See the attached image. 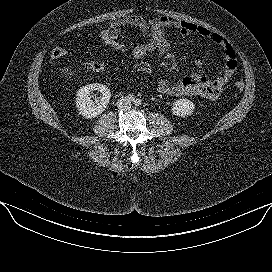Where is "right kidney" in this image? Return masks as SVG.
<instances>
[{"label": "right kidney", "mask_w": 272, "mask_h": 272, "mask_svg": "<svg viewBox=\"0 0 272 272\" xmlns=\"http://www.w3.org/2000/svg\"><path fill=\"white\" fill-rule=\"evenodd\" d=\"M92 91H98L102 96L93 101L90 97ZM76 96L75 104L79 113L83 117L89 119L104 112L109 103L111 93L110 89L106 85L94 83L80 88L77 91Z\"/></svg>", "instance_id": "right-kidney-1"}]
</instances>
